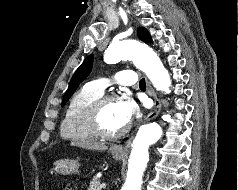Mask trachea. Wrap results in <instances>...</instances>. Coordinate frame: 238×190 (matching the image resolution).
<instances>
[{"instance_id": "1", "label": "trachea", "mask_w": 238, "mask_h": 190, "mask_svg": "<svg viewBox=\"0 0 238 190\" xmlns=\"http://www.w3.org/2000/svg\"><path fill=\"white\" fill-rule=\"evenodd\" d=\"M139 87L140 88H145L146 87V83H145V79L144 78L140 80Z\"/></svg>"}]
</instances>
